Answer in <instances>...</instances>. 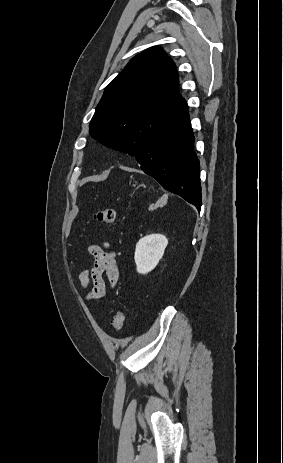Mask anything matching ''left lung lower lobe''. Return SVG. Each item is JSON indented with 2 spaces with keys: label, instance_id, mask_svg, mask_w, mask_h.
<instances>
[{
  "label": "left lung lower lobe",
  "instance_id": "1",
  "mask_svg": "<svg viewBox=\"0 0 283 463\" xmlns=\"http://www.w3.org/2000/svg\"><path fill=\"white\" fill-rule=\"evenodd\" d=\"M187 107L154 133L135 155L141 169L166 190L201 208L199 160Z\"/></svg>",
  "mask_w": 283,
  "mask_h": 463
}]
</instances>
